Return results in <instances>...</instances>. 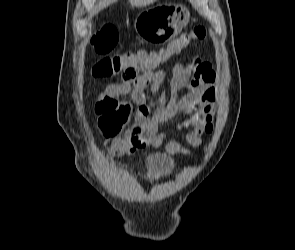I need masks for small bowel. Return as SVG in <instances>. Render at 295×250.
Returning <instances> with one entry per match:
<instances>
[{
  "instance_id": "small-bowel-1",
  "label": "small bowel",
  "mask_w": 295,
  "mask_h": 250,
  "mask_svg": "<svg viewBox=\"0 0 295 250\" xmlns=\"http://www.w3.org/2000/svg\"><path fill=\"white\" fill-rule=\"evenodd\" d=\"M166 49L125 53L132 65L122 73V80L109 84L99 94L97 103L106 97L117 98L130 95L138 105L135 121L123 137L115 138L111 150L115 155H132L148 146L164 147L168 153L188 154L177 141L159 131V125L179 114L186 119L178 129L186 128V143L194 148L201 146L202 136L214 129L216 102V74L210 63L196 57L188 63H178L173 67L171 90L168 99L160 91L166 72L159 66L172 55ZM186 89L183 96L179 91ZM146 90L157 99L147 102Z\"/></svg>"
}]
</instances>
